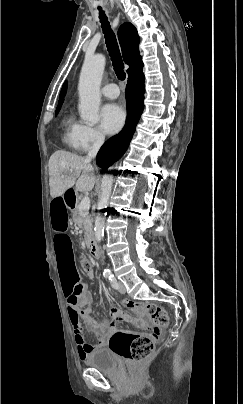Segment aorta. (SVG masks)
I'll use <instances>...</instances> for the list:
<instances>
[{"label": "aorta", "instance_id": "obj_1", "mask_svg": "<svg viewBox=\"0 0 243 404\" xmlns=\"http://www.w3.org/2000/svg\"><path fill=\"white\" fill-rule=\"evenodd\" d=\"M106 58L102 54H96L91 58H85L79 80V112L81 120L89 124H98L99 106L101 102L100 86L105 70ZM102 178L101 196L98 200L95 212L94 238L101 242L105 230V217L112 192V168L106 167Z\"/></svg>", "mask_w": 243, "mask_h": 404}]
</instances>
